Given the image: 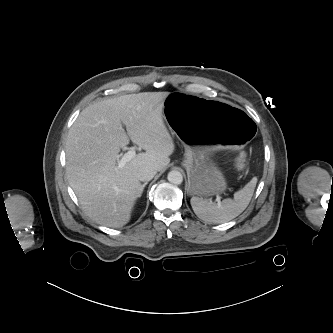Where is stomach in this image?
<instances>
[{
	"label": "stomach",
	"mask_w": 333,
	"mask_h": 333,
	"mask_svg": "<svg viewBox=\"0 0 333 333\" xmlns=\"http://www.w3.org/2000/svg\"><path fill=\"white\" fill-rule=\"evenodd\" d=\"M163 113L170 131L185 147L188 193H223L227 183L212 156L221 149H237L254 136L256 130L250 114L225 101L178 92L169 93Z\"/></svg>",
	"instance_id": "obj_1"
}]
</instances>
